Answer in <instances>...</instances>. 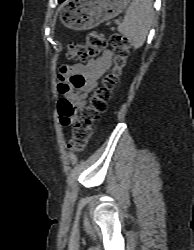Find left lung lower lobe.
Returning a JSON list of instances; mask_svg holds the SVG:
<instances>
[{
    "mask_svg": "<svg viewBox=\"0 0 194 250\" xmlns=\"http://www.w3.org/2000/svg\"><path fill=\"white\" fill-rule=\"evenodd\" d=\"M64 0H59V3H62Z\"/></svg>",
    "mask_w": 194,
    "mask_h": 250,
    "instance_id": "0a47b994",
    "label": "left lung lower lobe"
}]
</instances>
